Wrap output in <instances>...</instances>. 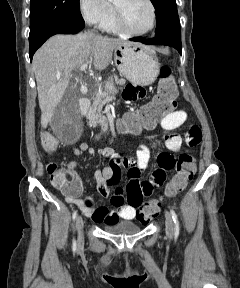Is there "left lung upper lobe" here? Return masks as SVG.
<instances>
[{"instance_id":"5c2ea615","label":"left lung upper lobe","mask_w":240,"mask_h":288,"mask_svg":"<svg viewBox=\"0 0 240 288\" xmlns=\"http://www.w3.org/2000/svg\"><path fill=\"white\" fill-rule=\"evenodd\" d=\"M156 10L157 27L155 35L181 34L175 0H151Z\"/></svg>"}]
</instances>
